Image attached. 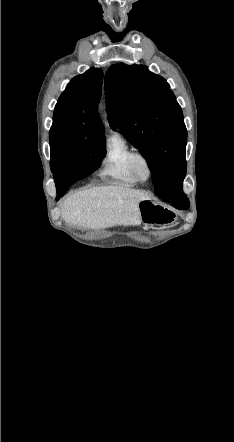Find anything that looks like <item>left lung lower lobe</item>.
Here are the masks:
<instances>
[{
	"label": "left lung lower lobe",
	"instance_id": "1",
	"mask_svg": "<svg viewBox=\"0 0 234 442\" xmlns=\"http://www.w3.org/2000/svg\"><path fill=\"white\" fill-rule=\"evenodd\" d=\"M160 198V197H159ZM163 201L172 203L178 209L185 210L189 208V201L184 193L180 194L177 197H165L161 198Z\"/></svg>",
	"mask_w": 234,
	"mask_h": 442
}]
</instances>
